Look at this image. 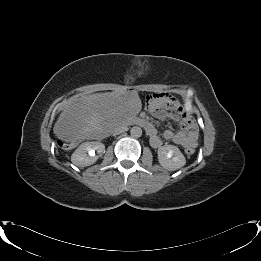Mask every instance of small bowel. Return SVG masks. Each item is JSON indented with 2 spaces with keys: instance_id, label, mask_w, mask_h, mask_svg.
<instances>
[{
  "instance_id": "obj_1",
  "label": "small bowel",
  "mask_w": 261,
  "mask_h": 261,
  "mask_svg": "<svg viewBox=\"0 0 261 261\" xmlns=\"http://www.w3.org/2000/svg\"><path fill=\"white\" fill-rule=\"evenodd\" d=\"M149 113L157 120H165L170 117L180 123L182 130L174 132L166 129L163 138L184 147H196L198 141V126L191 115L182 107L180 102L168 93L156 94L149 106ZM146 130L150 136V142L154 147L161 145V139L156 128L147 123Z\"/></svg>"
}]
</instances>
